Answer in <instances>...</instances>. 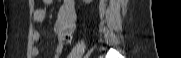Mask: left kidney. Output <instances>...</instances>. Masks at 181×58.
Returning a JSON list of instances; mask_svg holds the SVG:
<instances>
[{
    "label": "left kidney",
    "mask_w": 181,
    "mask_h": 58,
    "mask_svg": "<svg viewBox=\"0 0 181 58\" xmlns=\"http://www.w3.org/2000/svg\"><path fill=\"white\" fill-rule=\"evenodd\" d=\"M84 2H85L86 4H89L90 2H92V0H84Z\"/></svg>",
    "instance_id": "obj_1"
}]
</instances>
